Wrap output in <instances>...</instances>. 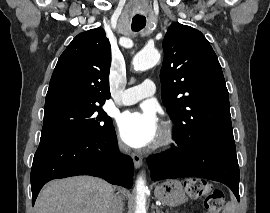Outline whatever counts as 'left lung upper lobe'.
Segmentation results:
<instances>
[{
	"label": "left lung upper lobe",
	"instance_id": "left-lung-upper-lobe-1",
	"mask_svg": "<svg viewBox=\"0 0 270 213\" xmlns=\"http://www.w3.org/2000/svg\"><path fill=\"white\" fill-rule=\"evenodd\" d=\"M162 100L177 126L175 138L233 137L221 65L204 35L173 23L163 40Z\"/></svg>",
	"mask_w": 270,
	"mask_h": 213
}]
</instances>
